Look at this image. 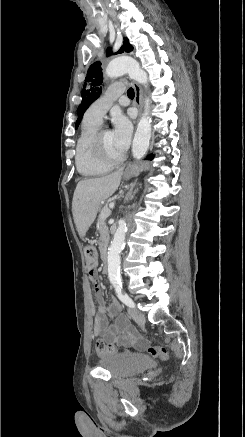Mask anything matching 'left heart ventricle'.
Here are the masks:
<instances>
[{"mask_svg": "<svg viewBox=\"0 0 245 437\" xmlns=\"http://www.w3.org/2000/svg\"><path fill=\"white\" fill-rule=\"evenodd\" d=\"M102 143L103 146L105 148V151L112 157H119L120 155H122V152L119 151L115 144H114V140H113V136L111 131L109 130H103L102 132Z\"/></svg>", "mask_w": 245, "mask_h": 437, "instance_id": "left-heart-ventricle-1", "label": "left heart ventricle"}]
</instances>
